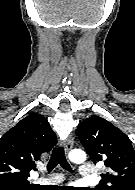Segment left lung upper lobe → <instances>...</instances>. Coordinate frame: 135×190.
I'll use <instances>...</instances> for the list:
<instances>
[{"instance_id": "obj_1", "label": "left lung upper lobe", "mask_w": 135, "mask_h": 190, "mask_svg": "<svg viewBox=\"0 0 135 190\" xmlns=\"http://www.w3.org/2000/svg\"><path fill=\"white\" fill-rule=\"evenodd\" d=\"M76 135L93 162L104 161L108 168L95 190H135V151L126 134L92 116L80 123Z\"/></svg>"}]
</instances>
